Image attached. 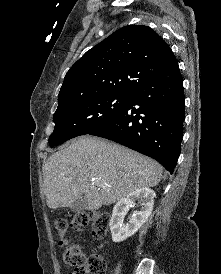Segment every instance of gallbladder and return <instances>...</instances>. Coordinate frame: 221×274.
<instances>
[{
  "label": "gallbladder",
  "mask_w": 221,
  "mask_h": 274,
  "mask_svg": "<svg viewBox=\"0 0 221 274\" xmlns=\"http://www.w3.org/2000/svg\"><path fill=\"white\" fill-rule=\"evenodd\" d=\"M87 204H88L87 199L83 195L81 198H79L76 201H74L72 203V205L70 206V208L74 212H80V211H83L84 209H86Z\"/></svg>",
  "instance_id": "obj_1"
}]
</instances>
